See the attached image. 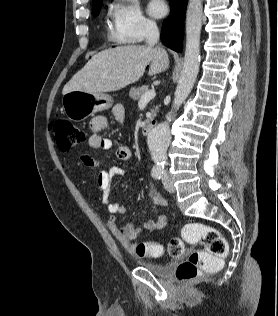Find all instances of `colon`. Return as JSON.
<instances>
[{
    "mask_svg": "<svg viewBox=\"0 0 278 316\" xmlns=\"http://www.w3.org/2000/svg\"><path fill=\"white\" fill-rule=\"evenodd\" d=\"M52 128L56 145L62 152L69 151L86 141L85 131L69 120L56 119ZM184 242H199L202 249L192 252L179 264L176 277L180 283H186L221 269L223 260L228 253V245L216 228L202 223L186 224L182 229L181 238H172L168 242L167 253L171 257H181L185 249ZM164 251L162 245L152 242L141 243L137 246L139 256H160Z\"/></svg>",
    "mask_w": 278,
    "mask_h": 316,
    "instance_id": "obj_1",
    "label": "colon"
}]
</instances>
